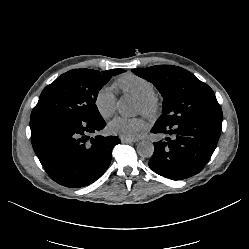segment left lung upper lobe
<instances>
[{
  "label": "left lung upper lobe",
  "instance_id": "5c2ea615",
  "mask_svg": "<svg viewBox=\"0 0 249 249\" xmlns=\"http://www.w3.org/2000/svg\"><path fill=\"white\" fill-rule=\"evenodd\" d=\"M132 72L151 83L164 98L163 114L156 124L173 125L186 120H220L223 114L212 89L189 71L159 65Z\"/></svg>",
  "mask_w": 249,
  "mask_h": 249
}]
</instances>
